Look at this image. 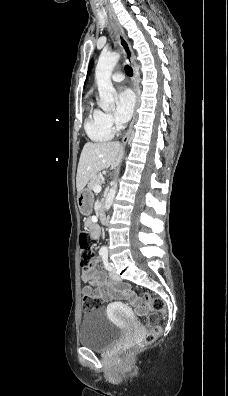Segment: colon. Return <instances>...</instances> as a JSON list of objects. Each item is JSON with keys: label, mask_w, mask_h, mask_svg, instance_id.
Wrapping results in <instances>:
<instances>
[{"label": "colon", "mask_w": 228, "mask_h": 396, "mask_svg": "<svg viewBox=\"0 0 228 396\" xmlns=\"http://www.w3.org/2000/svg\"><path fill=\"white\" fill-rule=\"evenodd\" d=\"M78 242L81 257V266L84 269H88L95 261V258L89 247V235L85 230H82L80 232ZM143 299L145 304L150 309V312L144 318L145 324L148 329L142 336V338L136 343L135 348H140L153 343L158 337L161 330L158 312H162L164 310L163 301L149 292L144 293ZM99 306L100 301L96 297L90 294H84L82 300V308L84 311L89 312L91 310L99 308Z\"/></svg>", "instance_id": "obj_1"}]
</instances>
